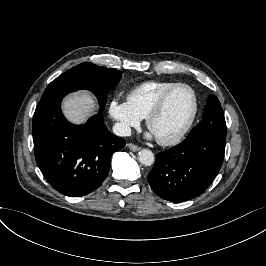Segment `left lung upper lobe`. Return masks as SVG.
<instances>
[{
	"label": "left lung upper lobe",
	"mask_w": 266,
	"mask_h": 266,
	"mask_svg": "<svg viewBox=\"0 0 266 266\" xmlns=\"http://www.w3.org/2000/svg\"><path fill=\"white\" fill-rule=\"evenodd\" d=\"M200 132H211L226 135L224 113L217 97L210 95L204 108L202 121L195 126L187 137Z\"/></svg>",
	"instance_id": "5c2ea615"
}]
</instances>
